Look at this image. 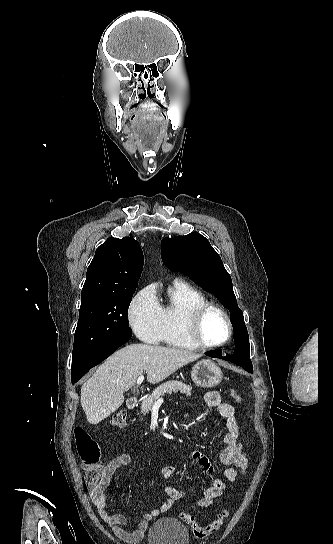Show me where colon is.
<instances>
[{
	"instance_id": "obj_1",
	"label": "colon",
	"mask_w": 333,
	"mask_h": 544,
	"mask_svg": "<svg viewBox=\"0 0 333 544\" xmlns=\"http://www.w3.org/2000/svg\"><path fill=\"white\" fill-rule=\"evenodd\" d=\"M231 397L237 403L242 401L241 395L236 390H231ZM112 426L123 429L127 425L125 411H118L111 418ZM74 437L78 455L85 470V481L90 490H96L103 486L106 480L105 467L102 464L101 450L97 442L83 428L74 430ZM181 519L188 524L195 537L203 539L215 534L224 524L228 512L223 510L212 522L201 525L193 515L187 512L180 514Z\"/></svg>"
}]
</instances>
